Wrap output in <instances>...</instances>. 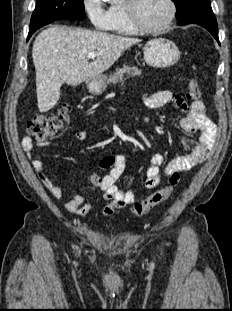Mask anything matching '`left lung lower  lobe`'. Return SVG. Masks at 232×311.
Here are the masks:
<instances>
[{
    "instance_id": "0a47b994",
    "label": "left lung lower lobe",
    "mask_w": 232,
    "mask_h": 311,
    "mask_svg": "<svg viewBox=\"0 0 232 311\" xmlns=\"http://www.w3.org/2000/svg\"><path fill=\"white\" fill-rule=\"evenodd\" d=\"M178 25L198 24L206 28L218 41V27L210 1H205L177 17Z\"/></svg>"
}]
</instances>
